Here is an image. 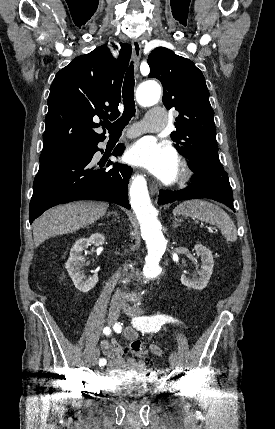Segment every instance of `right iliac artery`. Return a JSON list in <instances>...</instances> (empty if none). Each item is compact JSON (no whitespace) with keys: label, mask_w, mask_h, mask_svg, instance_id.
Returning <instances> with one entry per match:
<instances>
[{"label":"right iliac artery","mask_w":275,"mask_h":429,"mask_svg":"<svg viewBox=\"0 0 275 429\" xmlns=\"http://www.w3.org/2000/svg\"><path fill=\"white\" fill-rule=\"evenodd\" d=\"M103 333L105 334V335H110V333H111V329H110V327H105L104 328V330H103ZM106 365V360L104 359V358H101L100 360H99V366L100 367H103V366H105Z\"/></svg>","instance_id":"obj_1"}]
</instances>
